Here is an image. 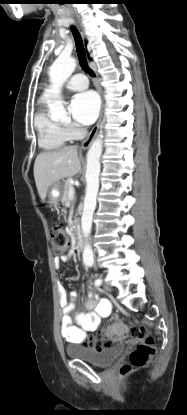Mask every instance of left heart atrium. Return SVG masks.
Wrapping results in <instances>:
<instances>
[{
	"instance_id": "1",
	"label": "left heart atrium",
	"mask_w": 187,
	"mask_h": 415,
	"mask_svg": "<svg viewBox=\"0 0 187 415\" xmlns=\"http://www.w3.org/2000/svg\"><path fill=\"white\" fill-rule=\"evenodd\" d=\"M100 109V99L94 91H85L76 94L70 104L73 118L82 125L92 124Z\"/></svg>"
}]
</instances>
